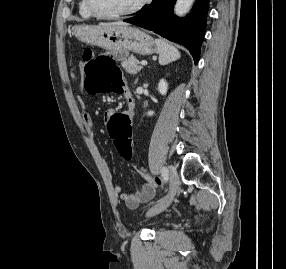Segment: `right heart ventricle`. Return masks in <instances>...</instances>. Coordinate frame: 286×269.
I'll return each mask as SVG.
<instances>
[{
  "label": "right heart ventricle",
  "mask_w": 286,
  "mask_h": 269,
  "mask_svg": "<svg viewBox=\"0 0 286 269\" xmlns=\"http://www.w3.org/2000/svg\"><path fill=\"white\" fill-rule=\"evenodd\" d=\"M79 14H80L83 18H91V17H92V15L90 14V12L87 10L85 0H80V2H79Z\"/></svg>",
  "instance_id": "e07e8e85"
}]
</instances>
